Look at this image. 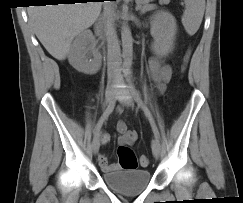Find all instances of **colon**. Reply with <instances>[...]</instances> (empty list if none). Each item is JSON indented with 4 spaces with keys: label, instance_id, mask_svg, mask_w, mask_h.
<instances>
[{
    "label": "colon",
    "instance_id": "obj_1",
    "mask_svg": "<svg viewBox=\"0 0 243 203\" xmlns=\"http://www.w3.org/2000/svg\"><path fill=\"white\" fill-rule=\"evenodd\" d=\"M191 51L188 50L184 56L182 71H185L190 59ZM117 155L119 163L124 170H134L138 166V160L133 152V150L127 145H120L117 149ZM141 166L146 167L149 164V160L146 156H142L139 160Z\"/></svg>",
    "mask_w": 243,
    "mask_h": 203
}]
</instances>
